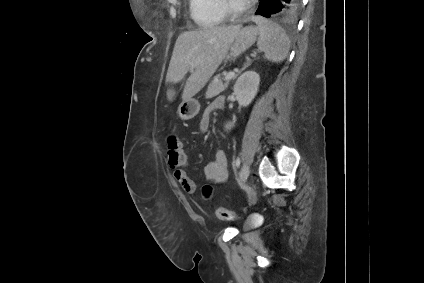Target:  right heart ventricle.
<instances>
[{"instance_id": "obj_1", "label": "right heart ventricle", "mask_w": 424, "mask_h": 283, "mask_svg": "<svg viewBox=\"0 0 424 283\" xmlns=\"http://www.w3.org/2000/svg\"><path fill=\"white\" fill-rule=\"evenodd\" d=\"M189 4L192 19L202 28H213L226 20L221 0H189Z\"/></svg>"}]
</instances>
